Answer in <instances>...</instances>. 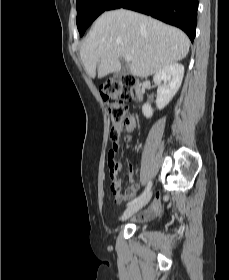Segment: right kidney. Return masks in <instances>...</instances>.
I'll use <instances>...</instances> for the list:
<instances>
[{"instance_id":"1","label":"right kidney","mask_w":229,"mask_h":280,"mask_svg":"<svg viewBox=\"0 0 229 280\" xmlns=\"http://www.w3.org/2000/svg\"><path fill=\"white\" fill-rule=\"evenodd\" d=\"M183 76L184 66L179 63H173L154 75L153 81L158 86L156 106L159 110L163 109L177 93ZM142 112L146 118H150L153 115V109L149 103H145L142 106Z\"/></svg>"}]
</instances>
